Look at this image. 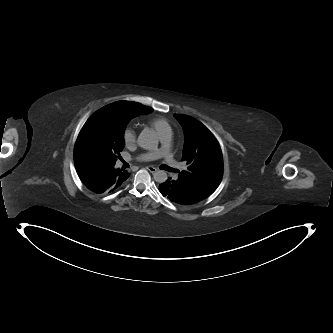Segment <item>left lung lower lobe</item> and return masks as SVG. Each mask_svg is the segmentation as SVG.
Segmentation results:
<instances>
[{"mask_svg": "<svg viewBox=\"0 0 333 333\" xmlns=\"http://www.w3.org/2000/svg\"><path fill=\"white\" fill-rule=\"evenodd\" d=\"M160 193L170 201L181 205L195 204L204 200L192 189L179 182L176 178H167L159 185Z\"/></svg>", "mask_w": 333, "mask_h": 333, "instance_id": "0a47b994", "label": "left lung lower lobe"}]
</instances>
